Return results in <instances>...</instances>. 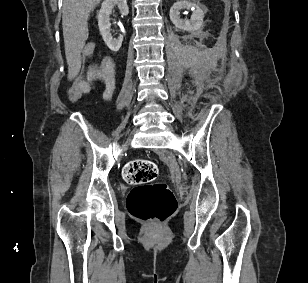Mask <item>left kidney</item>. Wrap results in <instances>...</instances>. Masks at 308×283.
Returning <instances> with one entry per match:
<instances>
[{"instance_id":"1","label":"left kidney","mask_w":308,"mask_h":283,"mask_svg":"<svg viewBox=\"0 0 308 283\" xmlns=\"http://www.w3.org/2000/svg\"><path fill=\"white\" fill-rule=\"evenodd\" d=\"M182 9H191L192 15L190 20L181 19L180 11ZM205 14V7L199 4V2H189L187 0L177 1L170 8V20L175 25V27L186 30L189 32H194L202 29L203 18Z\"/></svg>"}]
</instances>
